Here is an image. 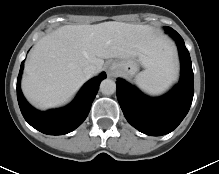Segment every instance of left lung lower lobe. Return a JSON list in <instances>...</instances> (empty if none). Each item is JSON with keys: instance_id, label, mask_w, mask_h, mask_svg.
<instances>
[{"instance_id": "1", "label": "left lung lower lobe", "mask_w": 219, "mask_h": 174, "mask_svg": "<svg viewBox=\"0 0 219 174\" xmlns=\"http://www.w3.org/2000/svg\"><path fill=\"white\" fill-rule=\"evenodd\" d=\"M167 33L176 41L181 61L179 84L166 95L150 98L125 80L117 79V98L127 121L140 132L161 136L173 131L187 115L193 95L194 76L190 54L175 31Z\"/></svg>"}]
</instances>
